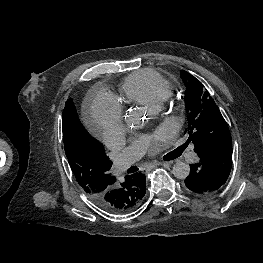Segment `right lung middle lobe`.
<instances>
[{"instance_id": "right-lung-middle-lobe-1", "label": "right lung middle lobe", "mask_w": 263, "mask_h": 263, "mask_svg": "<svg viewBox=\"0 0 263 263\" xmlns=\"http://www.w3.org/2000/svg\"><path fill=\"white\" fill-rule=\"evenodd\" d=\"M64 149L79 185L87 194L104 189L112 162L103 145L80 123L71 98L66 101L62 116Z\"/></svg>"}]
</instances>
